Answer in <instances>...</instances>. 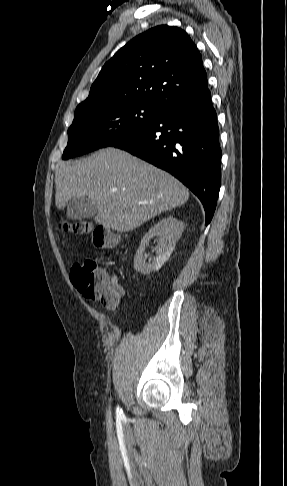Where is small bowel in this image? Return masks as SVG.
Masks as SVG:
<instances>
[{
  "label": "small bowel",
  "mask_w": 287,
  "mask_h": 486,
  "mask_svg": "<svg viewBox=\"0 0 287 486\" xmlns=\"http://www.w3.org/2000/svg\"><path fill=\"white\" fill-rule=\"evenodd\" d=\"M111 279H112V285H113L114 289L118 292V294L120 296V300H121L122 298L125 297V290H124L123 286L118 282L116 277H112ZM117 306H118V304L115 305V306L109 307V308L114 309Z\"/></svg>",
  "instance_id": "small-bowel-1"
}]
</instances>
